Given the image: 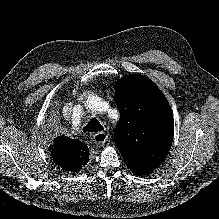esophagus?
Wrapping results in <instances>:
<instances>
[{
  "label": "esophagus",
  "mask_w": 219,
  "mask_h": 219,
  "mask_svg": "<svg viewBox=\"0 0 219 219\" xmlns=\"http://www.w3.org/2000/svg\"><path fill=\"white\" fill-rule=\"evenodd\" d=\"M108 140V135L105 132H98L93 136V141L97 145H104V143Z\"/></svg>",
  "instance_id": "obj_1"
}]
</instances>
